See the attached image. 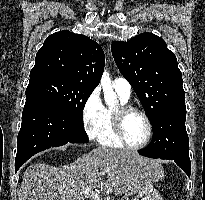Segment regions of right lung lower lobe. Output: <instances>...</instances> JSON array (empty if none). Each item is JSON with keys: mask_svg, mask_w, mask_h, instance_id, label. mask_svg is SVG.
<instances>
[{"mask_svg": "<svg viewBox=\"0 0 205 200\" xmlns=\"http://www.w3.org/2000/svg\"><path fill=\"white\" fill-rule=\"evenodd\" d=\"M84 126L40 97H26L17 138L15 172L33 155L67 143L87 142Z\"/></svg>", "mask_w": 205, "mask_h": 200, "instance_id": "98d812e1", "label": "right lung lower lobe"}]
</instances>
